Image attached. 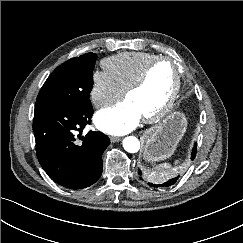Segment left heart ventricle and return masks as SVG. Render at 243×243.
<instances>
[{
  "instance_id": "b2bd125f",
  "label": "left heart ventricle",
  "mask_w": 243,
  "mask_h": 243,
  "mask_svg": "<svg viewBox=\"0 0 243 243\" xmlns=\"http://www.w3.org/2000/svg\"><path fill=\"white\" fill-rule=\"evenodd\" d=\"M174 81V65L169 61H161L152 67L145 83L132 91L126 98L133 102L143 115H147L160 107L166 100Z\"/></svg>"
}]
</instances>
